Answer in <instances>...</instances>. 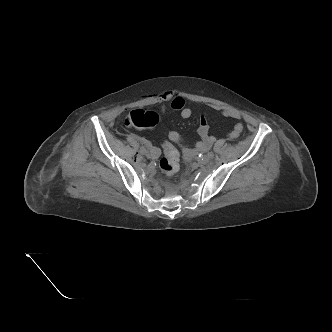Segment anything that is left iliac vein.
<instances>
[{"mask_svg":"<svg viewBox=\"0 0 332 332\" xmlns=\"http://www.w3.org/2000/svg\"><path fill=\"white\" fill-rule=\"evenodd\" d=\"M210 161V157H208L207 155L202 156V158L200 159V162L202 164H207Z\"/></svg>","mask_w":332,"mask_h":332,"instance_id":"4c4485c4","label":"left iliac vein"}]
</instances>
